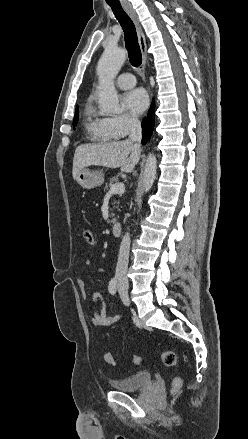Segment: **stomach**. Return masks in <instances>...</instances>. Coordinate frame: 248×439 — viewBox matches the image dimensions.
<instances>
[{
	"label": "stomach",
	"mask_w": 248,
	"mask_h": 439,
	"mask_svg": "<svg viewBox=\"0 0 248 439\" xmlns=\"http://www.w3.org/2000/svg\"><path fill=\"white\" fill-rule=\"evenodd\" d=\"M75 180L82 188L92 189L102 185L104 182V174L102 171L83 169L77 174Z\"/></svg>",
	"instance_id": "stomach-1"
}]
</instances>
